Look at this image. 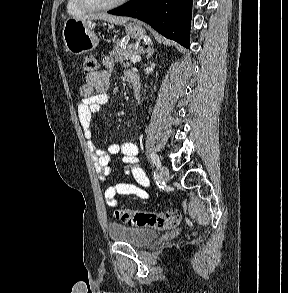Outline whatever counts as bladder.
Masks as SVG:
<instances>
[{"instance_id": "bladder-1", "label": "bladder", "mask_w": 288, "mask_h": 293, "mask_svg": "<svg viewBox=\"0 0 288 293\" xmlns=\"http://www.w3.org/2000/svg\"><path fill=\"white\" fill-rule=\"evenodd\" d=\"M108 233L112 240L126 243L133 247H143L157 237V232L144 226H131L112 222L108 226Z\"/></svg>"}]
</instances>
